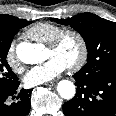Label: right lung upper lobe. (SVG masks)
<instances>
[{"instance_id": "right-lung-upper-lobe-1", "label": "right lung upper lobe", "mask_w": 116, "mask_h": 116, "mask_svg": "<svg viewBox=\"0 0 116 116\" xmlns=\"http://www.w3.org/2000/svg\"><path fill=\"white\" fill-rule=\"evenodd\" d=\"M23 21L25 20L19 19L17 17L11 16L8 14H0V26H3V27H11Z\"/></svg>"}]
</instances>
